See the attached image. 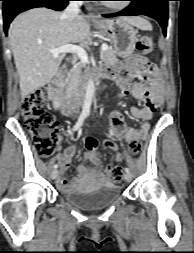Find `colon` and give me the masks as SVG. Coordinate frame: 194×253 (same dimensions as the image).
I'll return each mask as SVG.
<instances>
[{
  "instance_id": "colon-1",
  "label": "colon",
  "mask_w": 194,
  "mask_h": 253,
  "mask_svg": "<svg viewBox=\"0 0 194 253\" xmlns=\"http://www.w3.org/2000/svg\"><path fill=\"white\" fill-rule=\"evenodd\" d=\"M153 43L149 36H143L137 41L136 48L141 55L149 54L152 51ZM139 56V55H138ZM47 91L44 88L35 90L22 101L23 125L30 133L37 153L42 157L52 154L54 146L58 141V123L55 117L46 110ZM98 142V137H86V146L93 150ZM140 141L134 140L129 143V152L137 155L141 150ZM93 159L99 160V154L93 151ZM111 178L119 182L122 178V168L115 166L112 169Z\"/></svg>"
}]
</instances>
